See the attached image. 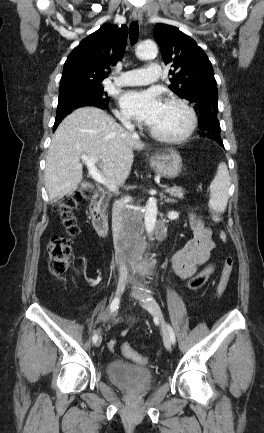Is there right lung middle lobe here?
Wrapping results in <instances>:
<instances>
[{
  "label": "right lung middle lobe",
  "mask_w": 264,
  "mask_h": 433,
  "mask_svg": "<svg viewBox=\"0 0 264 433\" xmlns=\"http://www.w3.org/2000/svg\"><path fill=\"white\" fill-rule=\"evenodd\" d=\"M109 99L107 93L103 91L102 85L78 87L67 90L59 95L56 118L68 115L75 106L89 101L107 106Z\"/></svg>",
  "instance_id": "right-lung-middle-lobe-1"
}]
</instances>
